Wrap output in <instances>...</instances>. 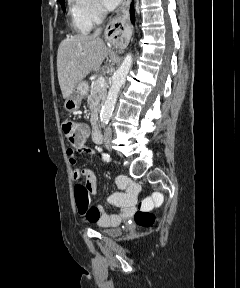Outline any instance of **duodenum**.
Returning <instances> with one entry per match:
<instances>
[{
  "mask_svg": "<svg viewBox=\"0 0 240 288\" xmlns=\"http://www.w3.org/2000/svg\"><path fill=\"white\" fill-rule=\"evenodd\" d=\"M93 137L95 142L100 143L102 141V135L99 129V117L97 114H94L91 119Z\"/></svg>",
  "mask_w": 240,
  "mask_h": 288,
  "instance_id": "duodenum-1",
  "label": "duodenum"
}]
</instances>
